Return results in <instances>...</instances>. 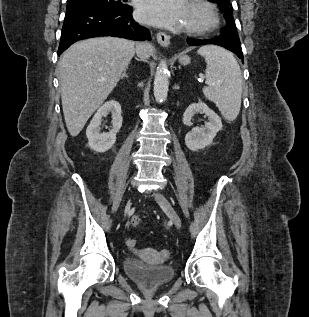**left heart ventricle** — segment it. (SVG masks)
Segmentation results:
<instances>
[{"label":"left heart ventricle","mask_w":309,"mask_h":317,"mask_svg":"<svg viewBox=\"0 0 309 317\" xmlns=\"http://www.w3.org/2000/svg\"><path fill=\"white\" fill-rule=\"evenodd\" d=\"M204 20L205 18L202 13L190 7L185 26L191 24H199L202 23Z\"/></svg>","instance_id":"1"}]
</instances>
